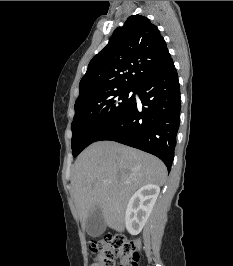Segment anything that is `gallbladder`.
Returning a JSON list of instances; mask_svg holds the SVG:
<instances>
[{
	"instance_id": "obj_1",
	"label": "gallbladder",
	"mask_w": 233,
	"mask_h": 266,
	"mask_svg": "<svg viewBox=\"0 0 233 266\" xmlns=\"http://www.w3.org/2000/svg\"><path fill=\"white\" fill-rule=\"evenodd\" d=\"M105 229L106 222L102 210L100 208H95L87 220V233L92 237H98L104 233Z\"/></svg>"
}]
</instances>
